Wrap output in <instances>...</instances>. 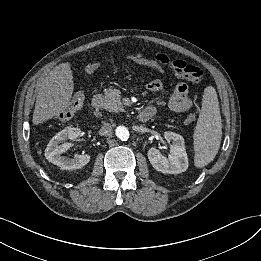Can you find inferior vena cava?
I'll return each instance as SVG.
<instances>
[{"label":"inferior vena cava","instance_id":"inferior-vena-cava-1","mask_svg":"<svg viewBox=\"0 0 261 261\" xmlns=\"http://www.w3.org/2000/svg\"><path fill=\"white\" fill-rule=\"evenodd\" d=\"M100 135L108 136L112 133V126L110 123H104L100 129Z\"/></svg>","mask_w":261,"mask_h":261}]
</instances>
